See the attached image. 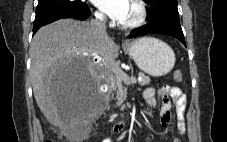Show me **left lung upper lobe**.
Wrapping results in <instances>:
<instances>
[{"instance_id": "5c2ea615", "label": "left lung upper lobe", "mask_w": 227, "mask_h": 142, "mask_svg": "<svg viewBox=\"0 0 227 142\" xmlns=\"http://www.w3.org/2000/svg\"><path fill=\"white\" fill-rule=\"evenodd\" d=\"M150 8L147 9V16L151 20L158 18H169L179 21L177 0H147Z\"/></svg>"}]
</instances>
